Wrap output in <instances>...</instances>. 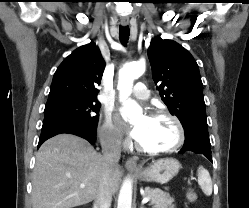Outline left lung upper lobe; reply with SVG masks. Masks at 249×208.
Wrapping results in <instances>:
<instances>
[{
    "mask_svg": "<svg viewBox=\"0 0 249 208\" xmlns=\"http://www.w3.org/2000/svg\"><path fill=\"white\" fill-rule=\"evenodd\" d=\"M152 76L163 102L180 120L185 135L208 131L203 84L192 55L172 40L156 37L148 48Z\"/></svg>",
    "mask_w": 249,
    "mask_h": 208,
    "instance_id": "1",
    "label": "left lung upper lobe"
}]
</instances>
